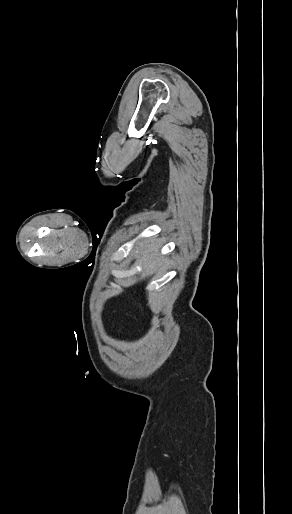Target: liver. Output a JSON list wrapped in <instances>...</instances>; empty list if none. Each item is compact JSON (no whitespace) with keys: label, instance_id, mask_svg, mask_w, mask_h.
Masks as SVG:
<instances>
[{"label":"liver","instance_id":"obj_1","mask_svg":"<svg viewBox=\"0 0 292 514\" xmlns=\"http://www.w3.org/2000/svg\"><path fill=\"white\" fill-rule=\"evenodd\" d=\"M161 242L162 240H158V238H155V240L149 238V242L147 240L140 242L138 250H132L131 256L137 258L140 262L141 278H146V276H150V274L162 268L165 258L163 256L158 258Z\"/></svg>","mask_w":292,"mask_h":514}]
</instances>
